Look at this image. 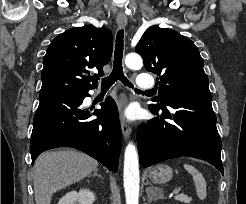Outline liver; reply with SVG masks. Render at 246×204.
<instances>
[{
	"instance_id": "6515ba94",
	"label": "liver",
	"mask_w": 246,
	"mask_h": 204,
	"mask_svg": "<svg viewBox=\"0 0 246 204\" xmlns=\"http://www.w3.org/2000/svg\"><path fill=\"white\" fill-rule=\"evenodd\" d=\"M98 167L92 157L72 149L42 153L34 165L36 204H50L52 195L88 176Z\"/></svg>"
}]
</instances>
